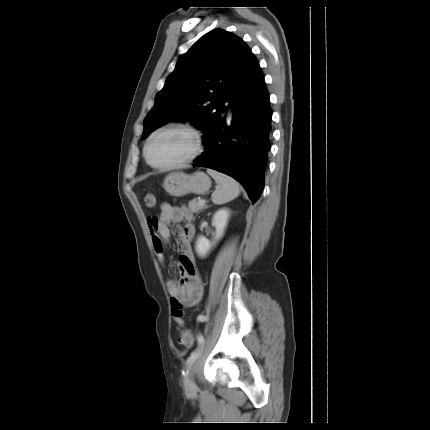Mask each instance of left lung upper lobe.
I'll list each match as a JSON object with an SVG mask.
<instances>
[{
  "label": "left lung upper lobe",
  "instance_id": "5c2ea615",
  "mask_svg": "<svg viewBox=\"0 0 430 430\" xmlns=\"http://www.w3.org/2000/svg\"><path fill=\"white\" fill-rule=\"evenodd\" d=\"M258 68L241 38L222 29L210 31L178 60L144 119L142 137L168 121L189 119L206 135L225 103L247 91Z\"/></svg>",
  "mask_w": 430,
  "mask_h": 430
}]
</instances>
